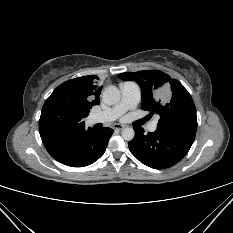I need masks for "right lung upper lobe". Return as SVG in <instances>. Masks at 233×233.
<instances>
[{"instance_id":"right-lung-upper-lobe-1","label":"right lung upper lobe","mask_w":233,"mask_h":233,"mask_svg":"<svg viewBox=\"0 0 233 233\" xmlns=\"http://www.w3.org/2000/svg\"><path fill=\"white\" fill-rule=\"evenodd\" d=\"M98 77L95 75L83 76L61 84V87L66 88L72 94L86 100L90 106L98 105L101 88L96 83Z\"/></svg>"}]
</instances>
